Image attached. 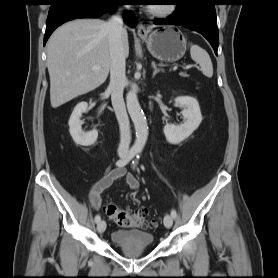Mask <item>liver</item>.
Returning <instances> with one entry per match:
<instances>
[{
    "mask_svg": "<svg viewBox=\"0 0 278 278\" xmlns=\"http://www.w3.org/2000/svg\"><path fill=\"white\" fill-rule=\"evenodd\" d=\"M125 58L128 34L122 33ZM109 29L99 19H77L59 27L47 43L50 102L57 108L103 84L110 70ZM100 67L93 71L92 66Z\"/></svg>",
    "mask_w": 278,
    "mask_h": 278,
    "instance_id": "liver-1",
    "label": "liver"
}]
</instances>
